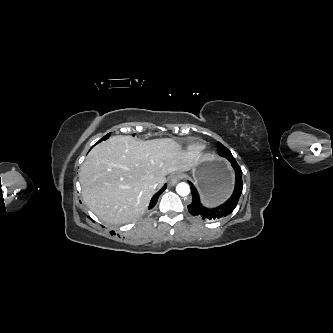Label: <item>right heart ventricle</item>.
I'll return each mask as SVG.
<instances>
[{
    "label": "right heart ventricle",
    "instance_id": "right-heart-ventricle-1",
    "mask_svg": "<svg viewBox=\"0 0 333 333\" xmlns=\"http://www.w3.org/2000/svg\"><path fill=\"white\" fill-rule=\"evenodd\" d=\"M203 149H204V145H202V144H193V145L189 146V150L191 152H199Z\"/></svg>",
    "mask_w": 333,
    "mask_h": 333
}]
</instances>
